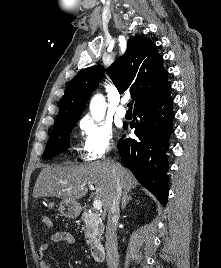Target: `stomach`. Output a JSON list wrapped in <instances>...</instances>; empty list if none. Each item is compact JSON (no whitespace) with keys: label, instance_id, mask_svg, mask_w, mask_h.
<instances>
[{"label":"stomach","instance_id":"0dacf381","mask_svg":"<svg viewBox=\"0 0 221 268\" xmlns=\"http://www.w3.org/2000/svg\"><path fill=\"white\" fill-rule=\"evenodd\" d=\"M46 206L48 209H53L55 206L54 202H47ZM60 214L68 219H74L78 217V215L81 212V206L77 201H67V200H62L59 203V208H58Z\"/></svg>","mask_w":221,"mask_h":268}]
</instances>
